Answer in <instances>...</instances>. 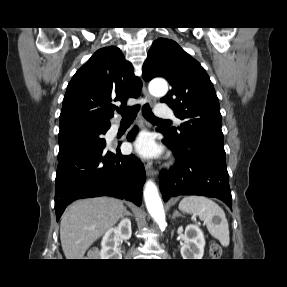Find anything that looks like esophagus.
I'll list each match as a JSON object with an SVG mask.
<instances>
[{
	"instance_id": "esophagus-1",
	"label": "esophagus",
	"mask_w": 287,
	"mask_h": 287,
	"mask_svg": "<svg viewBox=\"0 0 287 287\" xmlns=\"http://www.w3.org/2000/svg\"><path fill=\"white\" fill-rule=\"evenodd\" d=\"M142 93L148 99V101H149V103L151 105L155 104L156 99L149 94V92L147 90V87H146L144 82H143V87H142ZM144 166H145V170H146V173H147L148 176H150V177H156L157 176V171H155L152 168V163L151 162H146Z\"/></svg>"
}]
</instances>
